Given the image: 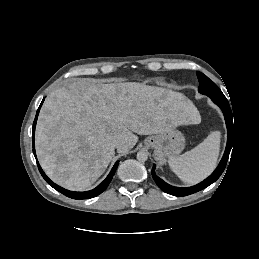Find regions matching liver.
Returning a JSON list of instances; mask_svg holds the SVG:
<instances>
[{"instance_id": "liver-1", "label": "liver", "mask_w": 259, "mask_h": 259, "mask_svg": "<svg viewBox=\"0 0 259 259\" xmlns=\"http://www.w3.org/2000/svg\"><path fill=\"white\" fill-rule=\"evenodd\" d=\"M200 114L180 93L142 83H99L74 78L45 100L36 127V152L46 174L73 191L89 188L115 155L127 153L135 135L198 124Z\"/></svg>"}]
</instances>
